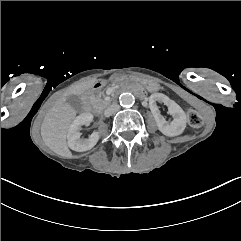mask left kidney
<instances>
[{"label": "left kidney", "mask_w": 241, "mask_h": 241, "mask_svg": "<svg viewBox=\"0 0 241 241\" xmlns=\"http://www.w3.org/2000/svg\"><path fill=\"white\" fill-rule=\"evenodd\" d=\"M164 103L168 113L173 116V121L168 123L160 114L156 102ZM149 107L155 118L158 129L166 136H177L183 133L186 127V115L182 108L169 97L162 93H154L149 97Z\"/></svg>", "instance_id": "left-kidney-1"}]
</instances>
